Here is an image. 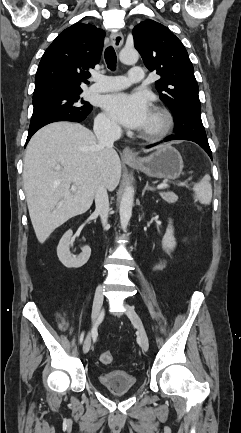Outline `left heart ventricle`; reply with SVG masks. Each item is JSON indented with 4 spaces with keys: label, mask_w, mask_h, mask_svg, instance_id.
Masks as SVG:
<instances>
[{
    "label": "left heart ventricle",
    "mask_w": 241,
    "mask_h": 433,
    "mask_svg": "<svg viewBox=\"0 0 241 433\" xmlns=\"http://www.w3.org/2000/svg\"><path fill=\"white\" fill-rule=\"evenodd\" d=\"M157 125V121L153 114H151L150 120L145 128L153 127Z\"/></svg>",
    "instance_id": "obj_1"
}]
</instances>
